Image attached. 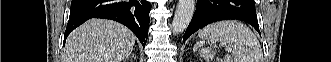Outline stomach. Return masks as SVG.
I'll use <instances>...</instances> for the list:
<instances>
[{
  "label": "stomach",
  "mask_w": 331,
  "mask_h": 62,
  "mask_svg": "<svg viewBox=\"0 0 331 62\" xmlns=\"http://www.w3.org/2000/svg\"><path fill=\"white\" fill-rule=\"evenodd\" d=\"M197 45H198V46L208 45L207 49H211L212 47L215 46V42H212V43H211L210 41H209V42L206 41L204 44H202L201 41H199V42L197 43Z\"/></svg>",
  "instance_id": "0dacf381"
}]
</instances>
